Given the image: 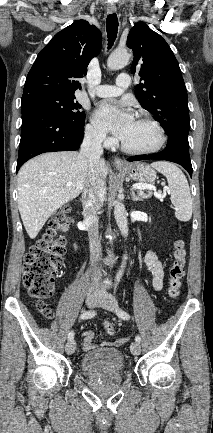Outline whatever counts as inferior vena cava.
Wrapping results in <instances>:
<instances>
[{
	"label": "inferior vena cava",
	"mask_w": 213,
	"mask_h": 433,
	"mask_svg": "<svg viewBox=\"0 0 213 433\" xmlns=\"http://www.w3.org/2000/svg\"><path fill=\"white\" fill-rule=\"evenodd\" d=\"M101 133L87 131L85 133L80 156L88 162V176L82 194L83 215L88 226L90 259L92 264L98 261L101 254L100 238L98 236L97 212L103 205L106 197V183L98 174V167L103 154ZM101 269L95 267L90 292H103L104 286L100 283Z\"/></svg>",
	"instance_id": "inferior-vena-cava-1"
}]
</instances>
